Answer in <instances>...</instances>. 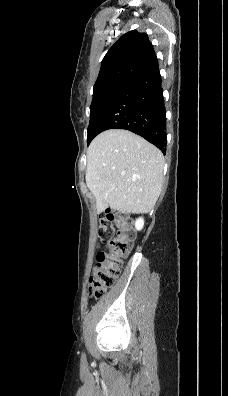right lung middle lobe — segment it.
Instances as JSON below:
<instances>
[{
    "label": "right lung middle lobe",
    "mask_w": 228,
    "mask_h": 396,
    "mask_svg": "<svg viewBox=\"0 0 228 396\" xmlns=\"http://www.w3.org/2000/svg\"><path fill=\"white\" fill-rule=\"evenodd\" d=\"M126 83H109L94 88L93 99L90 106V123L88 126V143L95 137L96 123L114 101V99L127 87Z\"/></svg>",
    "instance_id": "1"
}]
</instances>
